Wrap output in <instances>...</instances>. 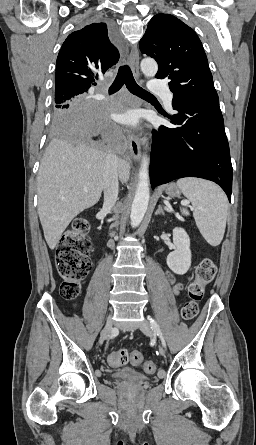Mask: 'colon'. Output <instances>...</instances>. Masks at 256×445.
Masks as SVG:
<instances>
[{
    "mask_svg": "<svg viewBox=\"0 0 256 445\" xmlns=\"http://www.w3.org/2000/svg\"><path fill=\"white\" fill-rule=\"evenodd\" d=\"M88 230V220L85 217H77L70 228L62 234L56 247V268L62 279L60 294L67 300L78 298L81 282L91 269L88 257L91 251ZM216 272V265L209 257L203 258L197 265L195 279L188 286V301L181 311L185 321H191L197 316L198 303L202 300L206 287L215 279ZM129 360L139 365L143 356L139 351L129 353L126 349H119L108 357V362L113 367H121ZM143 369L147 374H153L156 371V364L148 360L144 362Z\"/></svg>",
    "mask_w": 256,
    "mask_h": 445,
    "instance_id": "colon-1",
    "label": "colon"
}]
</instances>
